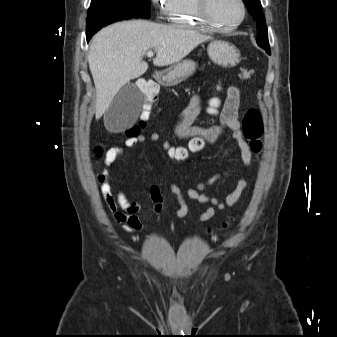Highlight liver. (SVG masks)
Here are the masks:
<instances>
[{
    "instance_id": "liver-1",
    "label": "liver",
    "mask_w": 337,
    "mask_h": 337,
    "mask_svg": "<svg viewBox=\"0 0 337 337\" xmlns=\"http://www.w3.org/2000/svg\"><path fill=\"white\" fill-rule=\"evenodd\" d=\"M209 39L193 30L146 20L118 22L100 30L93 37L88 53L96 89V120L126 83L147 71L148 63L143 61L147 51L156 52L155 66H168L178 63Z\"/></svg>"
}]
</instances>
